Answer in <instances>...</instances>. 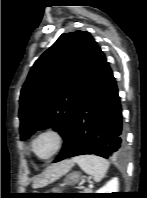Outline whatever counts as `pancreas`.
I'll use <instances>...</instances> for the list:
<instances>
[{"mask_svg":"<svg viewBox=\"0 0 147 198\" xmlns=\"http://www.w3.org/2000/svg\"><path fill=\"white\" fill-rule=\"evenodd\" d=\"M83 192H84V193H90L91 190H90V189H85Z\"/></svg>","mask_w":147,"mask_h":198,"instance_id":"pancreas-1","label":"pancreas"}]
</instances>
